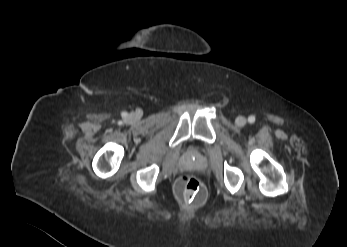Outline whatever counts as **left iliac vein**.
I'll list each match as a JSON object with an SVG mask.
<instances>
[{"label": "left iliac vein", "instance_id": "obj_1", "mask_svg": "<svg viewBox=\"0 0 347 247\" xmlns=\"http://www.w3.org/2000/svg\"><path fill=\"white\" fill-rule=\"evenodd\" d=\"M247 120L244 116H238L235 120V124L238 127H243L246 124Z\"/></svg>", "mask_w": 347, "mask_h": 247}]
</instances>
